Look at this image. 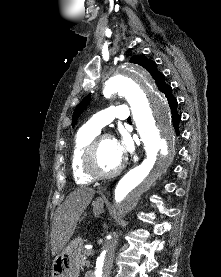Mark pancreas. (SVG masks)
Returning <instances> with one entry per match:
<instances>
[{"instance_id": "cf45deb5", "label": "pancreas", "mask_w": 221, "mask_h": 277, "mask_svg": "<svg viewBox=\"0 0 221 277\" xmlns=\"http://www.w3.org/2000/svg\"><path fill=\"white\" fill-rule=\"evenodd\" d=\"M93 251L91 250H84L83 251V256H82V262L81 266L89 265V260H87L86 256L92 255Z\"/></svg>"}]
</instances>
